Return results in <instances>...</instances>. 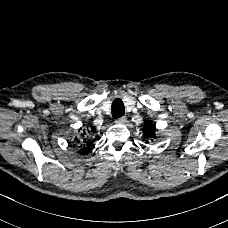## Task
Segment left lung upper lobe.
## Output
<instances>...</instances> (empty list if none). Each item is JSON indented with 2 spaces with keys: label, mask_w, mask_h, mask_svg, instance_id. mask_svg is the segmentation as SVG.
I'll use <instances>...</instances> for the list:
<instances>
[{
  "label": "left lung upper lobe",
  "mask_w": 228,
  "mask_h": 228,
  "mask_svg": "<svg viewBox=\"0 0 228 228\" xmlns=\"http://www.w3.org/2000/svg\"><path fill=\"white\" fill-rule=\"evenodd\" d=\"M142 130H143V137L145 139L149 140L151 138H155L156 127L153 123L146 121Z\"/></svg>",
  "instance_id": "1"
}]
</instances>
